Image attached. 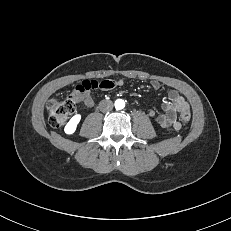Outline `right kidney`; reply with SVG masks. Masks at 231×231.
Here are the masks:
<instances>
[{"label":"right kidney","mask_w":231,"mask_h":231,"mask_svg":"<svg viewBox=\"0 0 231 231\" xmlns=\"http://www.w3.org/2000/svg\"><path fill=\"white\" fill-rule=\"evenodd\" d=\"M81 115L76 114L74 115L70 121L67 123V125L64 128V131L66 134H73L77 128L78 123L80 122Z\"/></svg>","instance_id":"right-kidney-1"}]
</instances>
